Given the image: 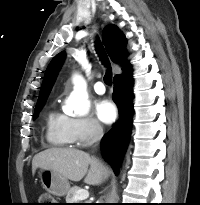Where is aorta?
<instances>
[{
    "instance_id": "aorta-1",
    "label": "aorta",
    "mask_w": 200,
    "mask_h": 205,
    "mask_svg": "<svg viewBox=\"0 0 200 205\" xmlns=\"http://www.w3.org/2000/svg\"><path fill=\"white\" fill-rule=\"evenodd\" d=\"M75 91L73 96L72 107L75 114L79 116L86 115L89 111V101L87 100L86 82L81 76L74 79Z\"/></svg>"
}]
</instances>
